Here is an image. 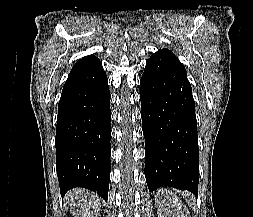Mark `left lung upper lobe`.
Returning <instances> with one entry per match:
<instances>
[{
  "mask_svg": "<svg viewBox=\"0 0 253 217\" xmlns=\"http://www.w3.org/2000/svg\"><path fill=\"white\" fill-rule=\"evenodd\" d=\"M159 53L165 54L167 56H170L172 59H174L175 61H177L179 64H181V62L175 57V55L168 49H163V50H159ZM183 66V64H181Z\"/></svg>",
  "mask_w": 253,
  "mask_h": 217,
  "instance_id": "obj_1",
  "label": "left lung upper lobe"
}]
</instances>
